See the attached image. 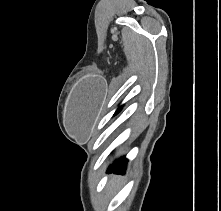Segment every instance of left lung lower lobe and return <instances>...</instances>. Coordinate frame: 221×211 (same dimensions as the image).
<instances>
[{"mask_svg": "<svg viewBox=\"0 0 221 211\" xmlns=\"http://www.w3.org/2000/svg\"><path fill=\"white\" fill-rule=\"evenodd\" d=\"M128 160L125 157H121L120 159L116 160L113 164V167L110 166L108 168V172H118V173H124L126 169V164Z\"/></svg>", "mask_w": 221, "mask_h": 211, "instance_id": "1", "label": "left lung lower lobe"}]
</instances>
